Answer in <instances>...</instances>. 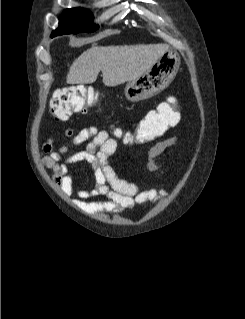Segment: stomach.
Here are the masks:
<instances>
[{"label":"stomach","instance_id":"stomach-1","mask_svg":"<svg viewBox=\"0 0 245 319\" xmlns=\"http://www.w3.org/2000/svg\"><path fill=\"white\" fill-rule=\"evenodd\" d=\"M179 66L177 55L165 52L145 73L127 82L124 96L128 101L138 102L159 94L173 81Z\"/></svg>","mask_w":245,"mask_h":319}]
</instances>
